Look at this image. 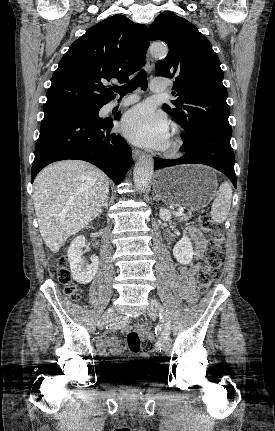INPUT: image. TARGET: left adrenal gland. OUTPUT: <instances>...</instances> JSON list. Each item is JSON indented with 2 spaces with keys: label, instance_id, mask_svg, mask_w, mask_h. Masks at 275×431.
Instances as JSON below:
<instances>
[{
  "label": "left adrenal gland",
  "instance_id": "1",
  "mask_svg": "<svg viewBox=\"0 0 275 431\" xmlns=\"http://www.w3.org/2000/svg\"><path fill=\"white\" fill-rule=\"evenodd\" d=\"M154 200H156V201H159L160 199H159V197H158V195H156V196H154V198H153Z\"/></svg>",
  "mask_w": 275,
  "mask_h": 431
}]
</instances>
